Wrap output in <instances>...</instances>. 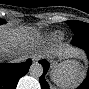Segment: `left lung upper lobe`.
Wrapping results in <instances>:
<instances>
[{
  "label": "left lung upper lobe",
  "instance_id": "obj_1",
  "mask_svg": "<svg viewBox=\"0 0 89 89\" xmlns=\"http://www.w3.org/2000/svg\"><path fill=\"white\" fill-rule=\"evenodd\" d=\"M74 32V34L78 33H89V24L80 22V21H67L66 22Z\"/></svg>",
  "mask_w": 89,
  "mask_h": 89
}]
</instances>
